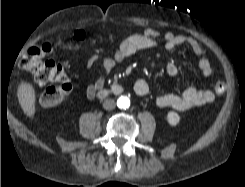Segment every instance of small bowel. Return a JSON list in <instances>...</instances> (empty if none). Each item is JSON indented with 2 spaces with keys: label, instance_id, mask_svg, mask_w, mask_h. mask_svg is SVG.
I'll return each mask as SVG.
<instances>
[{
  "label": "small bowel",
  "instance_id": "1",
  "mask_svg": "<svg viewBox=\"0 0 245 187\" xmlns=\"http://www.w3.org/2000/svg\"><path fill=\"white\" fill-rule=\"evenodd\" d=\"M161 45L165 50L171 52L177 47L188 45L199 58L200 76L207 78L214 72L210 59L204 54L202 46L192 37L183 34H174L172 32L162 33L156 29L149 28L140 34H130L124 38L118 49L109 57L102 58L100 54L93 55L89 62L90 68L96 61L102 59L103 75L92 82L86 90L89 98H93L100 91L106 77L114 68L134 55L135 53L155 48ZM166 72L171 77H176L179 73L178 67L169 62L166 65ZM134 90L137 95L145 96L149 92V85L146 80L138 79L134 84ZM213 94L208 90H201L193 84L187 85L181 94H165L158 96L155 104L159 108H171L177 111H186L191 108L208 104L213 100Z\"/></svg>",
  "mask_w": 245,
  "mask_h": 187
}]
</instances>
